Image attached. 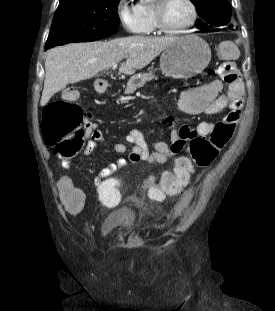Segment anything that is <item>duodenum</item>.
Here are the masks:
<instances>
[{
    "instance_id": "obj_1",
    "label": "duodenum",
    "mask_w": 275,
    "mask_h": 311,
    "mask_svg": "<svg viewBox=\"0 0 275 311\" xmlns=\"http://www.w3.org/2000/svg\"><path fill=\"white\" fill-rule=\"evenodd\" d=\"M108 88V82L105 79L97 80L95 83V90L99 94H104Z\"/></svg>"
}]
</instances>
